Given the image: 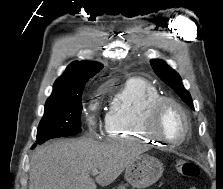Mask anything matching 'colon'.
<instances>
[{
  "mask_svg": "<svg viewBox=\"0 0 223 189\" xmlns=\"http://www.w3.org/2000/svg\"><path fill=\"white\" fill-rule=\"evenodd\" d=\"M176 169L181 175L188 178H195L199 173V168L195 163L184 160H178L176 162ZM190 189L196 188L193 187Z\"/></svg>",
  "mask_w": 223,
  "mask_h": 189,
  "instance_id": "obj_1",
  "label": "colon"
}]
</instances>
